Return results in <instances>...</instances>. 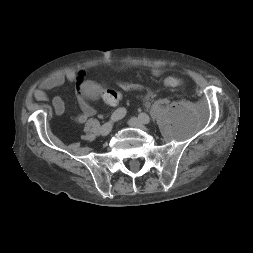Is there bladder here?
Returning a JSON list of instances; mask_svg holds the SVG:
<instances>
[{"label": "bladder", "instance_id": "31cf9c89", "mask_svg": "<svg viewBox=\"0 0 253 253\" xmlns=\"http://www.w3.org/2000/svg\"><path fill=\"white\" fill-rule=\"evenodd\" d=\"M82 92L87 99H95L99 95L100 89L97 84L88 81L82 85Z\"/></svg>", "mask_w": 253, "mask_h": 253}]
</instances>
